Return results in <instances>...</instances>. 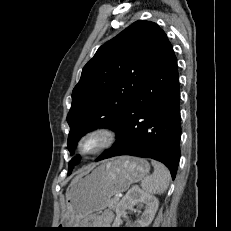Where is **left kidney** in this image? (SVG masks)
<instances>
[{
  "instance_id": "1",
  "label": "left kidney",
  "mask_w": 231,
  "mask_h": 231,
  "mask_svg": "<svg viewBox=\"0 0 231 231\" xmlns=\"http://www.w3.org/2000/svg\"><path fill=\"white\" fill-rule=\"evenodd\" d=\"M139 204L144 207V212L140 218L133 224L134 228H146L154 219L156 211L158 209V199L150 195L139 187L131 188L116 207V218L113 223V228H119L122 224L121 217L126 215V210L132 205Z\"/></svg>"
}]
</instances>
